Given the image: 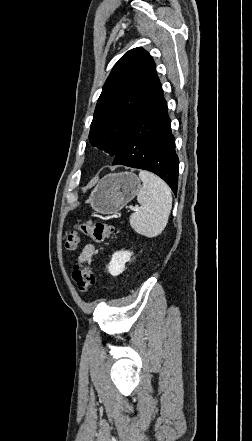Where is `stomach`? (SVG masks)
Returning <instances> with one entry per match:
<instances>
[{
  "mask_svg": "<svg viewBox=\"0 0 252 441\" xmlns=\"http://www.w3.org/2000/svg\"><path fill=\"white\" fill-rule=\"evenodd\" d=\"M140 188V180L133 173L108 174L100 180L87 202L98 213L113 214L127 205Z\"/></svg>",
  "mask_w": 252,
  "mask_h": 441,
  "instance_id": "obj_1",
  "label": "stomach"
}]
</instances>
